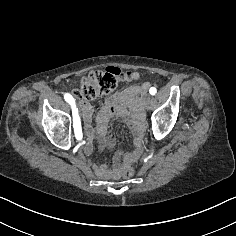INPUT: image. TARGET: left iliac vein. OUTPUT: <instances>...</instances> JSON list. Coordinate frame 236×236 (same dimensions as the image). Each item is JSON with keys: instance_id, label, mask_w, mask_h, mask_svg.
Wrapping results in <instances>:
<instances>
[{"instance_id": "4c4485c4", "label": "left iliac vein", "mask_w": 236, "mask_h": 236, "mask_svg": "<svg viewBox=\"0 0 236 236\" xmlns=\"http://www.w3.org/2000/svg\"><path fill=\"white\" fill-rule=\"evenodd\" d=\"M150 103L154 105L156 102H155L154 99H151V100H150Z\"/></svg>"}]
</instances>
